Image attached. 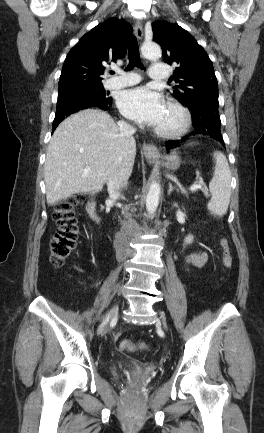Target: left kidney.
Instances as JSON below:
<instances>
[{"instance_id": "left-kidney-1", "label": "left kidney", "mask_w": 264, "mask_h": 433, "mask_svg": "<svg viewBox=\"0 0 264 433\" xmlns=\"http://www.w3.org/2000/svg\"><path fill=\"white\" fill-rule=\"evenodd\" d=\"M192 240H193V237L192 236H187L186 238H185V242L186 243H191L192 242Z\"/></svg>"}]
</instances>
